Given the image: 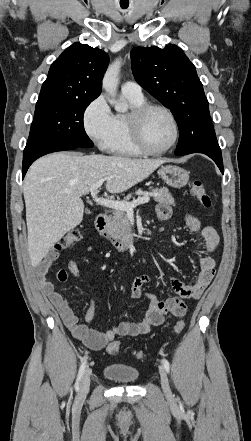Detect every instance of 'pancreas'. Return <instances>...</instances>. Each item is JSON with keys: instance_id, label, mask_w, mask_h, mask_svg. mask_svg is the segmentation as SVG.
Instances as JSON below:
<instances>
[{"instance_id": "cf45deb5", "label": "pancreas", "mask_w": 251, "mask_h": 441, "mask_svg": "<svg viewBox=\"0 0 251 441\" xmlns=\"http://www.w3.org/2000/svg\"><path fill=\"white\" fill-rule=\"evenodd\" d=\"M150 189L151 191L149 192V194H154V195L156 194V196L154 197V200L156 202L175 206L174 198L169 193L168 188L162 187V188H155V189L150 188ZM130 198H131V194L126 196L124 198V201L128 202ZM108 233L111 235L112 238L122 241H127L131 237V228L126 211L123 210L113 211L112 218L110 220V225L108 227Z\"/></svg>"}]
</instances>
